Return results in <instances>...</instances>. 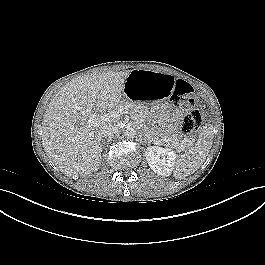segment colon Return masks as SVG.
Listing matches in <instances>:
<instances>
[{
    "mask_svg": "<svg viewBox=\"0 0 265 265\" xmlns=\"http://www.w3.org/2000/svg\"><path fill=\"white\" fill-rule=\"evenodd\" d=\"M171 101L175 105H195L197 102L192 86L183 80H176L174 82ZM202 121L201 113L198 110H193L184 117L181 130L184 134H193L200 130Z\"/></svg>",
    "mask_w": 265,
    "mask_h": 265,
    "instance_id": "colon-1",
    "label": "colon"
}]
</instances>
